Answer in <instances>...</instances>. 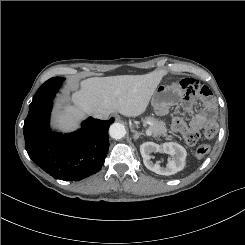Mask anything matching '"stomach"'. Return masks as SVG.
Returning <instances> with one entry per match:
<instances>
[{
    "label": "stomach",
    "instance_id": "stomach-1",
    "mask_svg": "<svg viewBox=\"0 0 245 245\" xmlns=\"http://www.w3.org/2000/svg\"><path fill=\"white\" fill-rule=\"evenodd\" d=\"M179 99L180 95L175 93L172 85L164 82L156 88L152 96L151 106L157 115L162 116L167 114Z\"/></svg>",
    "mask_w": 245,
    "mask_h": 245
}]
</instances>
